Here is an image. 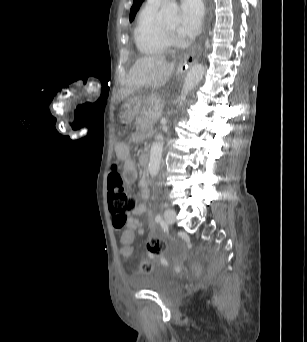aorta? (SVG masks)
<instances>
[{
  "mask_svg": "<svg viewBox=\"0 0 307 342\" xmlns=\"http://www.w3.org/2000/svg\"><path fill=\"white\" fill-rule=\"evenodd\" d=\"M163 24H170V26H177L180 24L179 8L176 0H170V2H162L161 10L159 12ZM204 74V68L202 64H196L192 66L190 72H188L182 86L181 94L178 98L177 108L183 106L188 94L191 90L197 86ZM163 136L158 134L157 140L153 142L150 150L148 172L150 176H157L160 170V164L162 160L163 152Z\"/></svg>",
  "mask_w": 307,
  "mask_h": 342,
  "instance_id": "obj_1",
  "label": "aorta"
}]
</instances>
